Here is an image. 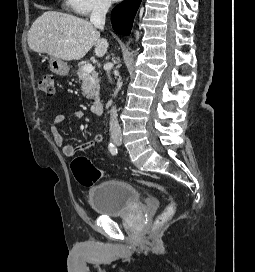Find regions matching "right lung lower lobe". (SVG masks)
<instances>
[{
	"label": "right lung lower lobe",
	"instance_id": "98d812e1",
	"mask_svg": "<svg viewBox=\"0 0 255 272\" xmlns=\"http://www.w3.org/2000/svg\"><path fill=\"white\" fill-rule=\"evenodd\" d=\"M141 0H126L116 6L111 14L113 29L122 35H129Z\"/></svg>",
	"mask_w": 255,
	"mask_h": 272
}]
</instances>
